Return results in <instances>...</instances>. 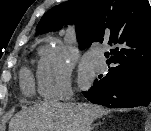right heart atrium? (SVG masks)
I'll return each instance as SVG.
<instances>
[{
	"mask_svg": "<svg viewBox=\"0 0 151 131\" xmlns=\"http://www.w3.org/2000/svg\"><path fill=\"white\" fill-rule=\"evenodd\" d=\"M36 79L39 93L48 99H60L70 96L71 61L58 48L45 51L40 56Z\"/></svg>",
	"mask_w": 151,
	"mask_h": 131,
	"instance_id": "obj_1",
	"label": "right heart atrium"
}]
</instances>
